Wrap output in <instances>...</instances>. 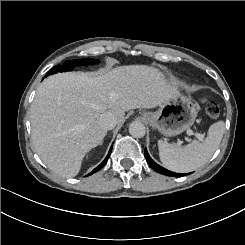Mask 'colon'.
<instances>
[{
    "instance_id": "5ec220e1",
    "label": "colon",
    "mask_w": 245,
    "mask_h": 245,
    "mask_svg": "<svg viewBox=\"0 0 245 245\" xmlns=\"http://www.w3.org/2000/svg\"><path fill=\"white\" fill-rule=\"evenodd\" d=\"M204 102L206 104L207 115L211 118L218 117L220 113L219 105L213 100L204 99Z\"/></svg>"
}]
</instances>
